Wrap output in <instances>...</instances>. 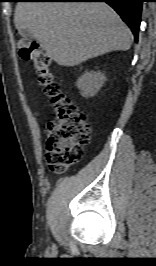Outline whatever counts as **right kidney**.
<instances>
[{
  "mask_svg": "<svg viewBox=\"0 0 156 266\" xmlns=\"http://www.w3.org/2000/svg\"><path fill=\"white\" fill-rule=\"evenodd\" d=\"M105 81L106 77L100 72H86L78 79L76 85L82 96L91 97L99 91Z\"/></svg>",
  "mask_w": 156,
  "mask_h": 266,
  "instance_id": "obj_1",
  "label": "right kidney"
}]
</instances>
